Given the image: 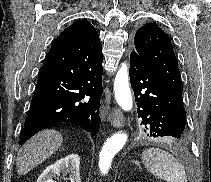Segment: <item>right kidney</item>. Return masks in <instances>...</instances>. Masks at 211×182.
Here are the masks:
<instances>
[{"label":"right kidney","instance_id":"right-kidney-1","mask_svg":"<svg viewBox=\"0 0 211 182\" xmlns=\"http://www.w3.org/2000/svg\"><path fill=\"white\" fill-rule=\"evenodd\" d=\"M80 157L76 154H70L49 165L39 176L37 182H56L54 179L60 173H70L71 182H81L80 178Z\"/></svg>","mask_w":211,"mask_h":182}]
</instances>
